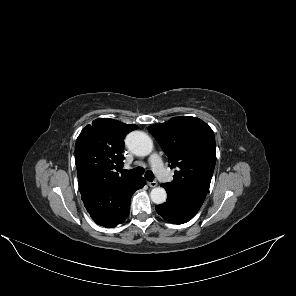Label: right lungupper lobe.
<instances>
[{"mask_svg": "<svg viewBox=\"0 0 296 296\" xmlns=\"http://www.w3.org/2000/svg\"><path fill=\"white\" fill-rule=\"evenodd\" d=\"M138 127L109 118H99L87 125L75 144L77 174H89L102 183H121L135 177L115 172L123 166L125 136Z\"/></svg>", "mask_w": 296, "mask_h": 296, "instance_id": "1", "label": "right lung upper lobe"}]
</instances>
